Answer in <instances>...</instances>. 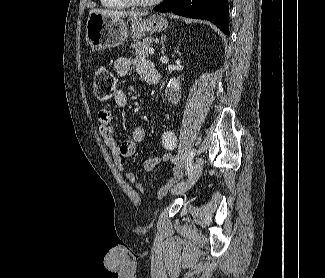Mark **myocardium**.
<instances>
[{
  "instance_id": "f54148a6",
  "label": "myocardium",
  "mask_w": 325,
  "mask_h": 278,
  "mask_svg": "<svg viewBox=\"0 0 325 278\" xmlns=\"http://www.w3.org/2000/svg\"><path fill=\"white\" fill-rule=\"evenodd\" d=\"M129 6L133 7H147L160 2V0H124Z\"/></svg>"
}]
</instances>
